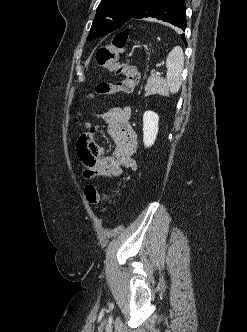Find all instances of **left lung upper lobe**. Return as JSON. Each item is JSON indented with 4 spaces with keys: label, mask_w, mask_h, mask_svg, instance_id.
Segmentation results:
<instances>
[{
    "label": "left lung upper lobe",
    "mask_w": 247,
    "mask_h": 332,
    "mask_svg": "<svg viewBox=\"0 0 247 332\" xmlns=\"http://www.w3.org/2000/svg\"><path fill=\"white\" fill-rule=\"evenodd\" d=\"M146 0H101L87 40L122 28Z\"/></svg>",
    "instance_id": "left-lung-upper-lobe-1"
}]
</instances>
